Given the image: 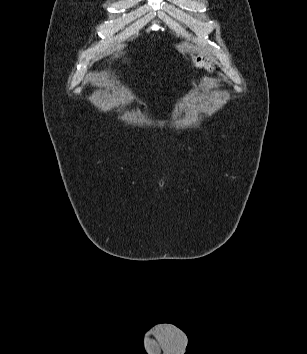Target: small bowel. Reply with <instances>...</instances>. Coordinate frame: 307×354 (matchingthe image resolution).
I'll list each match as a JSON object with an SVG mask.
<instances>
[{
  "mask_svg": "<svg viewBox=\"0 0 307 354\" xmlns=\"http://www.w3.org/2000/svg\"><path fill=\"white\" fill-rule=\"evenodd\" d=\"M190 61L194 66L198 68L205 69L208 71L214 70V63L204 55L194 54L190 57ZM184 88L187 91H190L193 88V85L188 78L184 80Z\"/></svg>",
  "mask_w": 307,
  "mask_h": 354,
  "instance_id": "c3829d8e",
  "label": "small bowel"
}]
</instances>
